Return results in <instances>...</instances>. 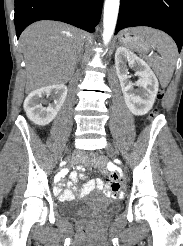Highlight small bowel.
I'll use <instances>...</instances> for the list:
<instances>
[{
    "label": "small bowel",
    "mask_w": 183,
    "mask_h": 246,
    "mask_svg": "<svg viewBox=\"0 0 183 246\" xmlns=\"http://www.w3.org/2000/svg\"><path fill=\"white\" fill-rule=\"evenodd\" d=\"M108 165L112 164L111 160L107 161ZM112 174L109 175L110 179H118V182H112L111 184L105 183L101 179L89 180L83 188H75L77 184L78 175L76 172H72V169H57V174H54L55 186L53 192L60 200L67 201L79 196H83L93 189L103 190L111 198H127V193H120L124 190V187H133V182H129L128 178H119V174H123V169H118V165H111ZM79 170L83 169L82 165L78 166ZM65 174H69V181L64 189L63 181Z\"/></svg>",
    "instance_id": "c3829d8e"
}]
</instances>
